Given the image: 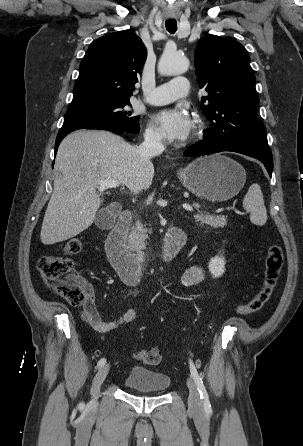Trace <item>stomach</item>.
Instances as JSON below:
<instances>
[{"label":"stomach","mask_w":303,"mask_h":446,"mask_svg":"<svg viewBox=\"0 0 303 446\" xmlns=\"http://www.w3.org/2000/svg\"><path fill=\"white\" fill-rule=\"evenodd\" d=\"M184 187L209 201H226L236 196L246 181L241 164L221 154L200 157L178 171Z\"/></svg>","instance_id":"1"}]
</instances>
